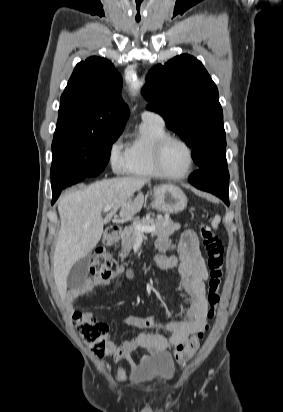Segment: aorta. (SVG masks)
<instances>
[{"instance_id": "762f6f07", "label": "aorta", "mask_w": 283, "mask_h": 412, "mask_svg": "<svg viewBox=\"0 0 283 412\" xmlns=\"http://www.w3.org/2000/svg\"><path fill=\"white\" fill-rule=\"evenodd\" d=\"M143 84L144 83L142 81H135L132 85L133 94L139 91Z\"/></svg>"}]
</instances>
